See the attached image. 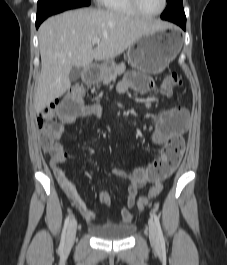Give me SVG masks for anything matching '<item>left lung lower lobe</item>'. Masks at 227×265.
<instances>
[{
	"label": "left lung lower lobe",
	"instance_id": "obj_1",
	"mask_svg": "<svg viewBox=\"0 0 227 265\" xmlns=\"http://www.w3.org/2000/svg\"><path fill=\"white\" fill-rule=\"evenodd\" d=\"M176 24H178L179 26H181L184 30L186 29V21H181V20H175V21H172Z\"/></svg>",
	"mask_w": 227,
	"mask_h": 265
}]
</instances>
